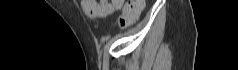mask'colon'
Segmentation results:
<instances>
[{
  "instance_id": "1",
  "label": "colon",
  "mask_w": 238,
  "mask_h": 70,
  "mask_svg": "<svg viewBox=\"0 0 238 70\" xmlns=\"http://www.w3.org/2000/svg\"><path fill=\"white\" fill-rule=\"evenodd\" d=\"M88 3L85 14L89 18H97L108 15L110 12H118V7H123L124 0H110V2H105L103 5H95V0H83ZM82 1V2H83ZM107 6V7H106ZM145 6L144 0H131L127 1L124 6L123 15L120 18L121 26H128L132 24L138 17L140 11ZM109 7V8H108Z\"/></svg>"
}]
</instances>
